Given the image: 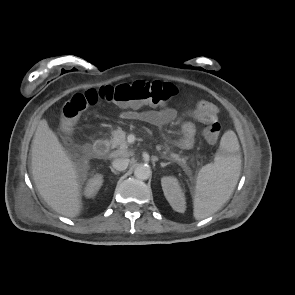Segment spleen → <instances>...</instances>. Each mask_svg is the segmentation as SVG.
I'll use <instances>...</instances> for the list:
<instances>
[{"label":"spleen","instance_id":"spleen-1","mask_svg":"<svg viewBox=\"0 0 295 295\" xmlns=\"http://www.w3.org/2000/svg\"><path fill=\"white\" fill-rule=\"evenodd\" d=\"M239 148L236 134L231 130L225 132L214 161L200 169L193 197L196 220L217 212L232 194L241 172Z\"/></svg>","mask_w":295,"mask_h":295}]
</instances>
